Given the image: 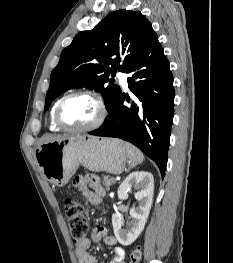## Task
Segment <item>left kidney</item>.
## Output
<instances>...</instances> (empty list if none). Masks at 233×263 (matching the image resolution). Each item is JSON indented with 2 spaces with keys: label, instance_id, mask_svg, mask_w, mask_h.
Returning a JSON list of instances; mask_svg holds the SVG:
<instances>
[{
  "label": "left kidney",
  "instance_id": "5707ae66",
  "mask_svg": "<svg viewBox=\"0 0 233 263\" xmlns=\"http://www.w3.org/2000/svg\"><path fill=\"white\" fill-rule=\"evenodd\" d=\"M132 188L137 190L135 199L138 201V206L130 209L131 220L127 222L126 227L122 228L124 223L121 214L112 215L114 235L123 246L132 244L144 229L153 201V175L144 171L129 174L118 188V198L126 199Z\"/></svg>",
  "mask_w": 233,
  "mask_h": 263
}]
</instances>
